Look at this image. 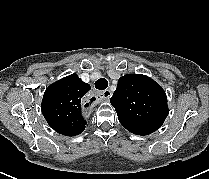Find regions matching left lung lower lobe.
<instances>
[{"mask_svg": "<svg viewBox=\"0 0 209 179\" xmlns=\"http://www.w3.org/2000/svg\"><path fill=\"white\" fill-rule=\"evenodd\" d=\"M128 131H130L131 133L137 134V135H148L144 132H142L141 130H138L136 128L133 127H128V126H124Z\"/></svg>", "mask_w": 209, "mask_h": 179, "instance_id": "obj_1", "label": "left lung lower lobe"}]
</instances>
